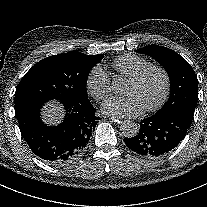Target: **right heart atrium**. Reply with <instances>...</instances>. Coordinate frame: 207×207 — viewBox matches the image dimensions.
Wrapping results in <instances>:
<instances>
[{"mask_svg":"<svg viewBox=\"0 0 207 207\" xmlns=\"http://www.w3.org/2000/svg\"><path fill=\"white\" fill-rule=\"evenodd\" d=\"M86 87L90 95L97 101L107 99L112 93L111 80L106 70L101 66H94L86 78Z\"/></svg>","mask_w":207,"mask_h":207,"instance_id":"1","label":"right heart atrium"}]
</instances>
